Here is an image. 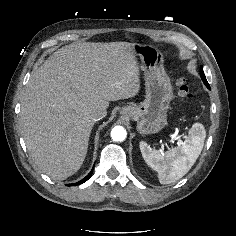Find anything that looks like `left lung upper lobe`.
<instances>
[{"instance_id": "obj_1", "label": "left lung upper lobe", "mask_w": 236, "mask_h": 236, "mask_svg": "<svg viewBox=\"0 0 236 236\" xmlns=\"http://www.w3.org/2000/svg\"><path fill=\"white\" fill-rule=\"evenodd\" d=\"M200 74H201V78H202V80H203L204 84L206 85V87H207V88H209V89H210V86H209V84H208V82H207V80H206V77H205V74H204V72H203V69H202V68H201V72H200Z\"/></svg>"}]
</instances>
